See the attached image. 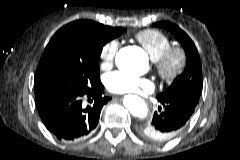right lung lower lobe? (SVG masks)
Listing matches in <instances>:
<instances>
[{
    "label": "right lung lower lobe",
    "mask_w": 240,
    "mask_h": 160,
    "mask_svg": "<svg viewBox=\"0 0 240 160\" xmlns=\"http://www.w3.org/2000/svg\"><path fill=\"white\" fill-rule=\"evenodd\" d=\"M100 82L87 92L72 93L58 88L35 94L39 115L58 139L78 140L91 133L99 122L102 107L110 100L103 96ZM84 99L90 104L86 105Z\"/></svg>",
    "instance_id": "right-lung-lower-lobe-1"
}]
</instances>
